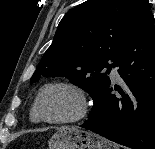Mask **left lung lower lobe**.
Instances as JSON below:
<instances>
[{"mask_svg": "<svg viewBox=\"0 0 155 149\" xmlns=\"http://www.w3.org/2000/svg\"><path fill=\"white\" fill-rule=\"evenodd\" d=\"M124 81L111 94L110 82L95 95L81 127L133 149H155V26L149 14L114 60Z\"/></svg>", "mask_w": 155, "mask_h": 149, "instance_id": "1", "label": "left lung lower lobe"}]
</instances>
